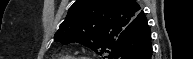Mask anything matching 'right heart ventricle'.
<instances>
[{"mask_svg":"<svg viewBox=\"0 0 193 59\" xmlns=\"http://www.w3.org/2000/svg\"><path fill=\"white\" fill-rule=\"evenodd\" d=\"M58 59H69V56L68 55H62Z\"/></svg>","mask_w":193,"mask_h":59,"instance_id":"e07e8e85","label":"right heart ventricle"}]
</instances>
